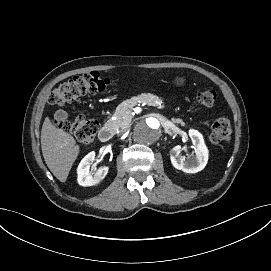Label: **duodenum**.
<instances>
[{
    "label": "duodenum",
    "instance_id": "obj_1",
    "mask_svg": "<svg viewBox=\"0 0 271 271\" xmlns=\"http://www.w3.org/2000/svg\"><path fill=\"white\" fill-rule=\"evenodd\" d=\"M99 139L101 142H107L113 136V129L109 122L105 123L99 130Z\"/></svg>",
    "mask_w": 271,
    "mask_h": 271
}]
</instances>
